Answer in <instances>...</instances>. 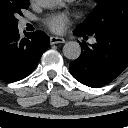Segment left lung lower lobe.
Here are the masks:
<instances>
[{"mask_svg": "<svg viewBox=\"0 0 128 128\" xmlns=\"http://www.w3.org/2000/svg\"><path fill=\"white\" fill-rule=\"evenodd\" d=\"M74 34L85 38L90 36L78 28ZM95 37L97 42L91 47L85 42L80 43L83 51L69 65V71L76 80L93 88L109 84L128 66V32Z\"/></svg>", "mask_w": 128, "mask_h": 128, "instance_id": "obj_1", "label": "left lung lower lobe"}]
</instances>
